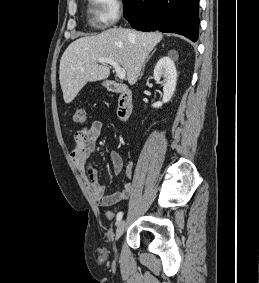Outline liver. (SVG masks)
I'll list each match as a JSON object with an SVG mask.
<instances>
[{"instance_id":"1","label":"liver","mask_w":259,"mask_h":283,"mask_svg":"<svg viewBox=\"0 0 259 283\" xmlns=\"http://www.w3.org/2000/svg\"><path fill=\"white\" fill-rule=\"evenodd\" d=\"M162 38V34L156 32L111 28L73 41L60 60L59 80L65 103L72 102L88 82L108 78L110 68L98 64L101 57L121 65L128 83L134 85L145 59Z\"/></svg>"}]
</instances>
